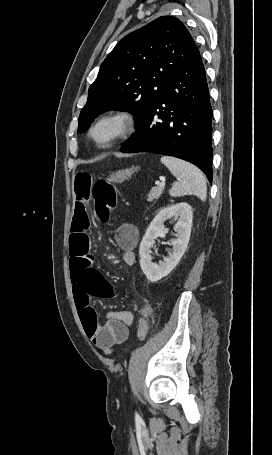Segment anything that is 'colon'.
<instances>
[{
    "instance_id": "1",
    "label": "colon",
    "mask_w": 272,
    "mask_h": 455,
    "mask_svg": "<svg viewBox=\"0 0 272 455\" xmlns=\"http://www.w3.org/2000/svg\"><path fill=\"white\" fill-rule=\"evenodd\" d=\"M92 199L97 217L100 221L107 222L115 210L117 203V192L115 187L106 179L97 180L92 189ZM149 313V307L145 306L142 308L137 329L139 341H144L148 335L149 325L147 317L149 316Z\"/></svg>"
}]
</instances>
